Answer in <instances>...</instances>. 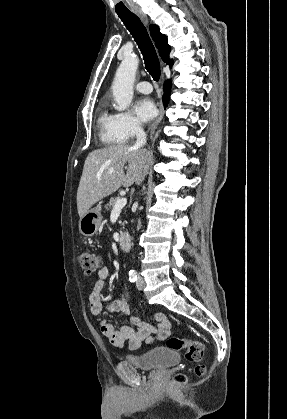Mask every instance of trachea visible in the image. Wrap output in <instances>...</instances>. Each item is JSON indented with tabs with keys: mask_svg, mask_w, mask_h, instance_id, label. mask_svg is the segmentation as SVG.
Instances as JSON below:
<instances>
[{
	"mask_svg": "<svg viewBox=\"0 0 287 419\" xmlns=\"http://www.w3.org/2000/svg\"><path fill=\"white\" fill-rule=\"evenodd\" d=\"M118 16L136 41L143 55L146 70L155 81H158L161 73L160 63L145 26L133 13L122 15L118 14Z\"/></svg>",
	"mask_w": 287,
	"mask_h": 419,
	"instance_id": "obj_1",
	"label": "trachea"
}]
</instances>
